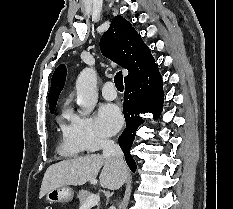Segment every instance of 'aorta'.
<instances>
[{"label":"aorta","instance_id":"762f6f07","mask_svg":"<svg viewBox=\"0 0 233 209\" xmlns=\"http://www.w3.org/2000/svg\"><path fill=\"white\" fill-rule=\"evenodd\" d=\"M96 85V71L92 68L83 69L76 81L77 103L81 107L79 112L83 115L91 113L97 103Z\"/></svg>","mask_w":233,"mask_h":209}]
</instances>
